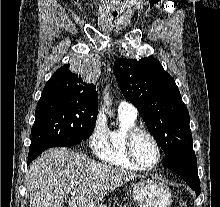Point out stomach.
I'll list each match as a JSON object with an SVG mask.
<instances>
[{"mask_svg": "<svg viewBox=\"0 0 220 207\" xmlns=\"http://www.w3.org/2000/svg\"><path fill=\"white\" fill-rule=\"evenodd\" d=\"M136 207H170L172 195L169 187L158 177H145L134 184L132 191ZM94 207H105L97 204Z\"/></svg>", "mask_w": 220, "mask_h": 207, "instance_id": "0dacf381", "label": "stomach"}]
</instances>
